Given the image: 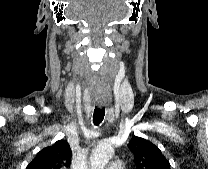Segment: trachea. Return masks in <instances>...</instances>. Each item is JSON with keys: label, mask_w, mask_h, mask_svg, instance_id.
Here are the masks:
<instances>
[{"label": "trachea", "mask_w": 208, "mask_h": 169, "mask_svg": "<svg viewBox=\"0 0 208 169\" xmlns=\"http://www.w3.org/2000/svg\"><path fill=\"white\" fill-rule=\"evenodd\" d=\"M104 116H105V107L102 108L95 107L93 114L94 125L96 126L99 125L103 121Z\"/></svg>", "instance_id": "obj_1"}]
</instances>
